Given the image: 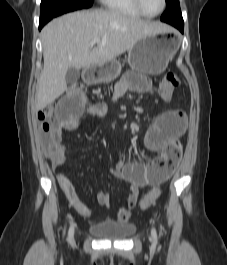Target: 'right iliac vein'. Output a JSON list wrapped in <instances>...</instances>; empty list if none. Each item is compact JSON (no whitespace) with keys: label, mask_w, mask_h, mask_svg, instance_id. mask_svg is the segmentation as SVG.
I'll return each mask as SVG.
<instances>
[{"label":"right iliac vein","mask_w":227,"mask_h":265,"mask_svg":"<svg viewBox=\"0 0 227 265\" xmlns=\"http://www.w3.org/2000/svg\"><path fill=\"white\" fill-rule=\"evenodd\" d=\"M74 238V228L71 227L69 230V236H68V240L71 242Z\"/></svg>","instance_id":"obj_1"}]
</instances>
